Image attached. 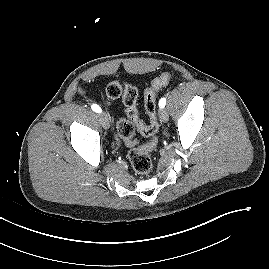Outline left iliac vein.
Wrapping results in <instances>:
<instances>
[{
  "label": "left iliac vein",
  "mask_w": 269,
  "mask_h": 269,
  "mask_svg": "<svg viewBox=\"0 0 269 269\" xmlns=\"http://www.w3.org/2000/svg\"><path fill=\"white\" fill-rule=\"evenodd\" d=\"M159 118H160V121L167 122L169 118L168 112L165 109L161 108L159 111Z\"/></svg>",
  "instance_id": "4c4485c4"
}]
</instances>
